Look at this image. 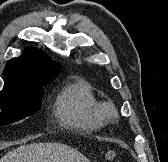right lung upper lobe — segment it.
<instances>
[{"mask_svg": "<svg viewBox=\"0 0 168 162\" xmlns=\"http://www.w3.org/2000/svg\"><path fill=\"white\" fill-rule=\"evenodd\" d=\"M61 70L58 64L38 50H27L10 59L4 69L5 86L1 92L15 89L28 82H51Z\"/></svg>", "mask_w": 168, "mask_h": 162, "instance_id": "cb5924a9", "label": "right lung upper lobe"}]
</instances>
